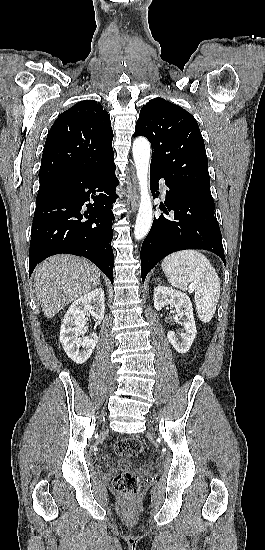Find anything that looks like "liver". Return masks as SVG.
<instances>
[{
  "mask_svg": "<svg viewBox=\"0 0 265 550\" xmlns=\"http://www.w3.org/2000/svg\"><path fill=\"white\" fill-rule=\"evenodd\" d=\"M33 280L36 297L49 319L97 287L100 270L85 258L54 255L37 266Z\"/></svg>",
  "mask_w": 265,
  "mask_h": 550,
  "instance_id": "obj_1",
  "label": "liver"
}]
</instances>
